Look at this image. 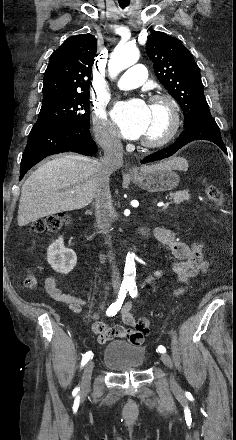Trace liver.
<instances>
[{"instance_id":"liver-1","label":"liver","mask_w":236,"mask_h":440,"mask_svg":"<svg viewBox=\"0 0 236 440\" xmlns=\"http://www.w3.org/2000/svg\"><path fill=\"white\" fill-rule=\"evenodd\" d=\"M181 160L143 166L141 170L180 169ZM101 178L102 163L82 155H63L44 163L22 185L18 225L86 207L93 201Z\"/></svg>"}]
</instances>
